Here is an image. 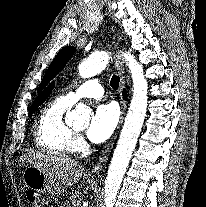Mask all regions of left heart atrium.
<instances>
[{
  "label": "left heart atrium",
  "instance_id": "left-heart-atrium-1",
  "mask_svg": "<svg viewBox=\"0 0 206 207\" xmlns=\"http://www.w3.org/2000/svg\"><path fill=\"white\" fill-rule=\"evenodd\" d=\"M119 120V110L114 103L100 104L96 107L87 137L94 143H100L108 139L115 130Z\"/></svg>",
  "mask_w": 206,
  "mask_h": 207
}]
</instances>
